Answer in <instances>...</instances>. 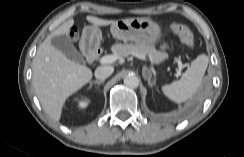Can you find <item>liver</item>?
Instances as JSON below:
<instances>
[{
	"mask_svg": "<svg viewBox=\"0 0 244 157\" xmlns=\"http://www.w3.org/2000/svg\"><path fill=\"white\" fill-rule=\"evenodd\" d=\"M92 26H108L114 20L87 16ZM73 26L69 20L52 32L39 45L32 63V85L47 115L59 121L66 100L92 79V71L85 65L70 60L56 49L51 40L54 36L67 34Z\"/></svg>",
	"mask_w": 244,
	"mask_h": 157,
	"instance_id": "1",
	"label": "liver"
}]
</instances>
